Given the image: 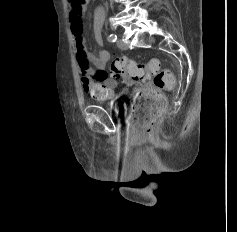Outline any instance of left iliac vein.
Returning <instances> with one entry per match:
<instances>
[{"label": "left iliac vein", "mask_w": 237, "mask_h": 232, "mask_svg": "<svg viewBox=\"0 0 237 232\" xmlns=\"http://www.w3.org/2000/svg\"><path fill=\"white\" fill-rule=\"evenodd\" d=\"M117 46L121 50H126L128 48L127 45L120 39L117 41Z\"/></svg>", "instance_id": "4c4485c4"}]
</instances>
